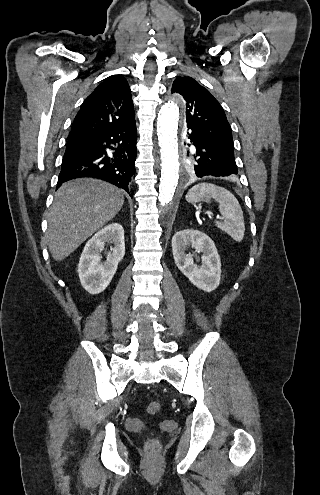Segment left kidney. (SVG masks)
I'll return each mask as SVG.
<instances>
[{
	"instance_id": "obj_1",
	"label": "left kidney",
	"mask_w": 320,
	"mask_h": 495,
	"mask_svg": "<svg viewBox=\"0 0 320 495\" xmlns=\"http://www.w3.org/2000/svg\"><path fill=\"white\" fill-rule=\"evenodd\" d=\"M190 247L203 253L200 268L194 264L193 254L186 253ZM172 252L177 267L197 288L211 292L219 286L221 260L214 242L206 234L197 230L175 233L172 238Z\"/></svg>"
}]
</instances>
